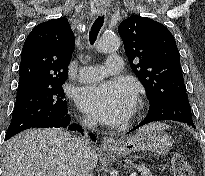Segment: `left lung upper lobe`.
<instances>
[{"label":"left lung upper lobe","instance_id":"obj_1","mask_svg":"<svg viewBox=\"0 0 205 176\" xmlns=\"http://www.w3.org/2000/svg\"><path fill=\"white\" fill-rule=\"evenodd\" d=\"M118 32L150 105L164 103L177 93L186 92L175 39L163 24L135 15L124 20Z\"/></svg>","mask_w":205,"mask_h":176}]
</instances>
